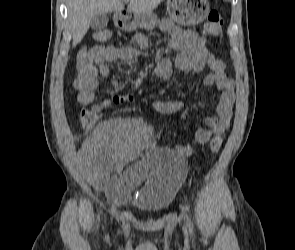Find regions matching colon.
<instances>
[{"label":"colon","mask_w":295,"mask_h":250,"mask_svg":"<svg viewBox=\"0 0 295 250\" xmlns=\"http://www.w3.org/2000/svg\"><path fill=\"white\" fill-rule=\"evenodd\" d=\"M223 26V19L217 10H211L206 18L203 26V33L209 37L217 36ZM110 38V32L107 30H98L94 33V39L99 42L107 41ZM90 48H83L77 54V62L87 61L88 53ZM100 116V111L94 106L82 108L78 113V118L81 126L85 130H91L97 123ZM222 143L218 140H214L210 143L212 152H218L221 148Z\"/></svg>","instance_id":"obj_1"}]
</instances>
